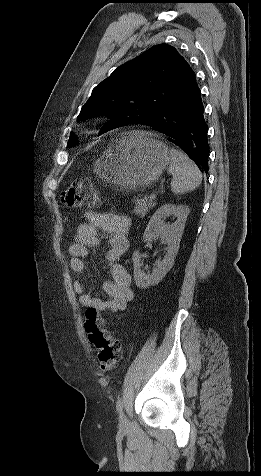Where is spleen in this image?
<instances>
[{
	"instance_id": "obj_1",
	"label": "spleen",
	"mask_w": 261,
	"mask_h": 476,
	"mask_svg": "<svg viewBox=\"0 0 261 476\" xmlns=\"http://www.w3.org/2000/svg\"><path fill=\"white\" fill-rule=\"evenodd\" d=\"M170 164L167 172L173 176L171 191L183 194L196 189L202 182V173L196 164L183 152L170 149Z\"/></svg>"
}]
</instances>
